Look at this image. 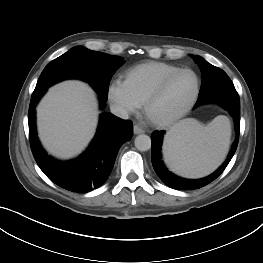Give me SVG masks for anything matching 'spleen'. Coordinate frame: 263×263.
<instances>
[{
    "mask_svg": "<svg viewBox=\"0 0 263 263\" xmlns=\"http://www.w3.org/2000/svg\"><path fill=\"white\" fill-rule=\"evenodd\" d=\"M230 135L229 119L223 115L206 126L195 119L183 120L165 136V163L171 171L186 178L206 176L224 160Z\"/></svg>",
    "mask_w": 263,
    "mask_h": 263,
    "instance_id": "spleen-1",
    "label": "spleen"
}]
</instances>
